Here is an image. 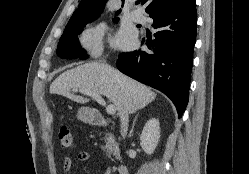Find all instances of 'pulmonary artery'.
I'll list each match as a JSON object with an SVG mask.
<instances>
[{"instance_id": "pulmonary-artery-1", "label": "pulmonary artery", "mask_w": 249, "mask_h": 174, "mask_svg": "<svg viewBox=\"0 0 249 174\" xmlns=\"http://www.w3.org/2000/svg\"><path fill=\"white\" fill-rule=\"evenodd\" d=\"M130 17L134 22H137V23H142L145 21L143 14H141L139 11H136V10L131 11Z\"/></svg>"}]
</instances>
